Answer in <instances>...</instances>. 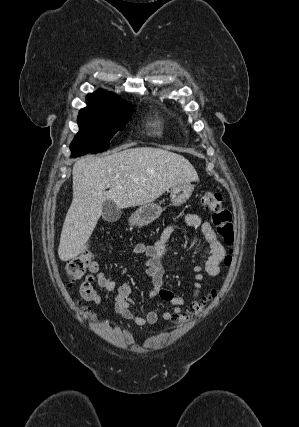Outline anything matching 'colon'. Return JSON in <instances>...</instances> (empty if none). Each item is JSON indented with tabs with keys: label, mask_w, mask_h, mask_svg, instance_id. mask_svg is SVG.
<instances>
[{
	"label": "colon",
	"mask_w": 299,
	"mask_h": 427,
	"mask_svg": "<svg viewBox=\"0 0 299 427\" xmlns=\"http://www.w3.org/2000/svg\"><path fill=\"white\" fill-rule=\"evenodd\" d=\"M202 206L212 214V221L217 227V233L223 242L231 246L234 243V226L231 211L223 205V197L220 193L206 191L201 198ZM94 254L85 251L70 260L66 264V274L71 281L80 279L93 263ZM227 264L231 263V254L225 258ZM211 300V296H206L201 301L193 304L188 312L181 315L178 321L183 322L200 315ZM87 314H92L91 309H85Z\"/></svg>",
	"instance_id": "obj_1"
}]
</instances>
